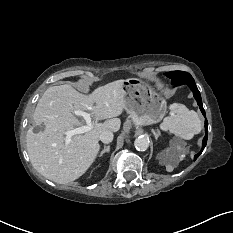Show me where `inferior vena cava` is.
I'll return each mask as SVG.
<instances>
[{
    "mask_svg": "<svg viewBox=\"0 0 233 233\" xmlns=\"http://www.w3.org/2000/svg\"><path fill=\"white\" fill-rule=\"evenodd\" d=\"M99 138L105 144L110 143L113 140V133L111 131H103Z\"/></svg>",
    "mask_w": 233,
    "mask_h": 233,
    "instance_id": "602c4592",
    "label": "inferior vena cava"
}]
</instances>
